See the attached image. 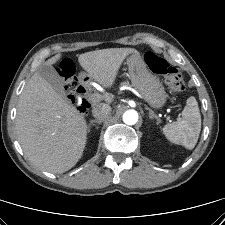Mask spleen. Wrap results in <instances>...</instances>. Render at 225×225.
I'll return each instance as SVG.
<instances>
[{"label":"spleen","instance_id":"3e777b00","mask_svg":"<svg viewBox=\"0 0 225 225\" xmlns=\"http://www.w3.org/2000/svg\"><path fill=\"white\" fill-rule=\"evenodd\" d=\"M165 137L174 144L191 150L195 147L201 131V115L195 97H189L182 111V119L162 128Z\"/></svg>","mask_w":225,"mask_h":225}]
</instances>
